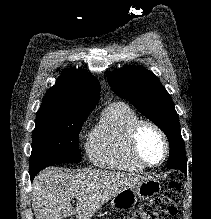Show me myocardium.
<instances>
[{
    "mask_svg": "<svg viewBox=\"0 0 211 219\" xmlns=\"http://www.w3.org/2000/svg\"><path fill=\"white\" fill-rule=\"evenodd\" d=\"M151 127L154 129L157 134L161 137L162 142H163V156L162 159L156 163V164H150L144 160L142 157L140 150H139V134L141 130L144 127ZM129 145H130V150L132 153V156L135 158V160L141 164L144 168H157L162 166L168 159L169 152H170V146H169V141L166 133L164 130L155 122L151 120H138L131 128L130 135H129Z\"/></svg>",
    "mask_w": 211,
    "mask_h": 219,
    "instance_id": "myocardium-1",
    "label": "myocardium"
}]
</instances>
